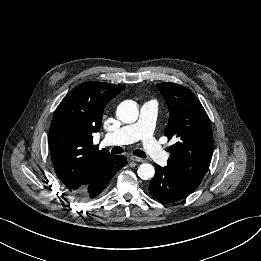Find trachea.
<instances>
[{
	"instance_id": "3493384b",
	"label": "trachea",
	"mask_w": 261,
	"mask_h": 261,
	"mask_svg": "<svg viewBox=\"0 0 261 261\" xmlns=\"http://www.w3.org/2000/svg\"><path fill=\"white\" fill-rule=\"evenodd\" d=\"M112 153L113 154H121L123 153V148H121L120 146H115L113 149H112ZM133 154L137 157H140V158H146V154L145 152H143L142 150H134L133 151Z\"/></svg>"
}]
</instances>
